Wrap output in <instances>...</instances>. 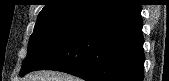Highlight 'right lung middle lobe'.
<instances>
[{"label":"right lung middle lobe","instance_id":"dd1d6c3e","mask_svg":"<svg viewBox=\"0 0 169 81\" xmlns=\"http://www.w3.org/2000/svg\"><path fill=\"white\" fill-rule=\"evenodd\" d=\"M85 18L65 15L37 20L30 37L27 56L20 75L35 70L86 22Z\"/></svg>","mask_w":169,"mask_h":81}]
</instances>
